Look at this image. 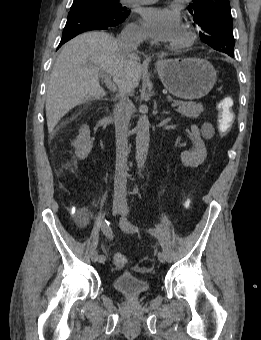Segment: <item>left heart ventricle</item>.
<instances>
[{
    "instance_id": "1",
    "label": "left heart ventricle",
    "mask_w": 261,
    "mask_h": 340,
    "mask_svg": "<svg viewBox=\"0 0 261 340\" xmlns=\"http://www.w3.org/2000/svg\"><path fill=\"white\" fill-rule=\"evenodd\" d=\"M179 37H180V34L178 35V37H177L176 39H178ZM176 39H175V40H176Z\"/></svg>"
}]
</instances>
